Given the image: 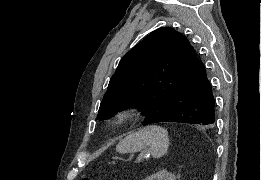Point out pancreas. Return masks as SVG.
Instances as JSON below:
<instances>
[{"instance_id": "cf45deb5", "label": "pancreas", "mask_w": 261, "mask_h": 180, "mask_svg": "<svg viewBox=\"0 0 261 180\" xmlns=\"http://www.w3.org/2000/svg\"><path fill=\"white\" fill-rule=\"evenodd\" d=\"M134 163H139V160H134Z\"/></svg>"}]
</instances>
